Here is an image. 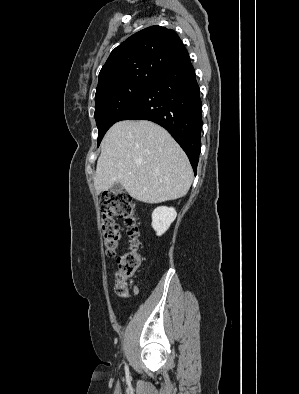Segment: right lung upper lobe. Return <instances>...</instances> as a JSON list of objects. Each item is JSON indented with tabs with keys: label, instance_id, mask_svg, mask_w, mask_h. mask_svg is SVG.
<instances>
[{
	"label": "right lung upper lobe",
	"instance_id": "1",
	"mask_svg": "<svg viewBox=\"0 0 299 394\" xmlns=\"http://www.w3.org/2000/svg\"><path fill=\"white\" fill-rule=\"evenodd\" d=\"M187 57L174 30L161 26L145 28L111 52L99 73L96 95L130 82L152 83Z\"/></svg>",
	"mask_w": 299,
	"mask_h": 394
}]
</instances>
